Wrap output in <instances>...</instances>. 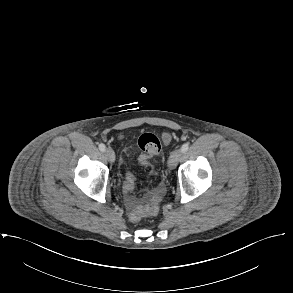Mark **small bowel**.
Returning a JSON list of instances; mask_svg holds the SVG:
<instances>
[{
  "instance_id": "c3829d8e",
  "label": "small bowel",
  "mask_w": 293,
  "mask_h": 293,
  "mask_svg": "<svg viewBox=\"0 0 293 293\" xmlns=\"http://www.w3.org/2000/svg\"><path fill=\"white\" fill-rule=\"evenodd\" d=\"M166 139L168 140V137H166ZM126 193V208L127 210L130 212L132 207H133V200L132 198L128 195L129 193L127 191H125Z\"/></svg>"
}]
</instances>
